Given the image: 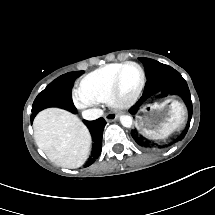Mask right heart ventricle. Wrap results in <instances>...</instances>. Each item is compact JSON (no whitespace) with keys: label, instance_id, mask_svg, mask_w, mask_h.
I'll return each instance as SVG.
<instances>
[{"label":"right heart ventricle","instance_id":"1","mask_svg":"<svg viewBox=\"0 0 215 215\" xmlns=\"http://www.w3.org/2000/svg\"><path fill=\"white\" fill-rule=\"evenodd\" d=\"M119 65L120 63L107 64L93 71L86 78L81 91L84 89L90 100L98 104L105 102L116 79L114 71L118 70Z\"/></svg>","mask_w":215,"mask_h":215}]
</instances>
